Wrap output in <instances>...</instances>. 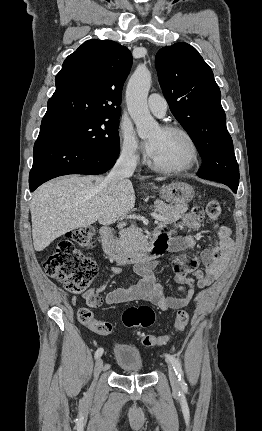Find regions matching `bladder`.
Wrapping results in <instances>:
<instances>
[{"label": "bladder", "instance_id": "obj_1", "mask_svg": "<svg viewBox=\"0 0 262 431\" xmlns=\"http://www.w3.org/2000/svg\"><path fill=\"white\" fill-rule=\"evenodd\" d=\"M115 356L118 365L124 371L140 372L144 363L140 351L129 344H117Z\"/></svg>", "mask_w": 262, "mask_h": 431}]
</instances>
